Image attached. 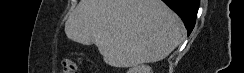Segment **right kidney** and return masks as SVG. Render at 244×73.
<instances>
[{"instance_id": "right-kidney-1", "label": "right kidney", "mask_w": 244, "mask_h": 73, "mask_svg": "<svg viewBox=\"0 0 244 73\" xmlns=\"http://www.w3.org/2000/svg\"><path fill=\"white\" fill-rule=\"evenodd\" d=\"M127 73H152V69L148 65H136L129 69Z\"/></svg>"}]
</instances>
